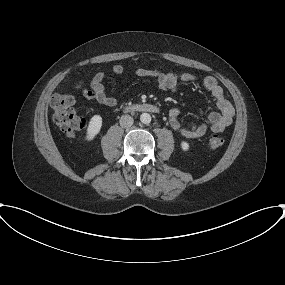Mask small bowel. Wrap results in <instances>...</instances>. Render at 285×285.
Returning a JSON list of instances; mask_svg holds the SVG:
<instances>
[{
	"label": "small bowel",
	"instance_id": "1",
	"mask_svg": "<svg viewBox=\"0 0 285 285\" xmlns=\"http://www.w3.org/2000/svg\"><path fill=\"white\" fill-rule=\"evenodd\" d=\"M134 74L140 77H153L156 79L160 89L170 92H177L180 82L194 83L198 80L197 77L191 73H165L156 69L148 70L138 68L134 70ZM103 80V73H97L90 82V89H83V95L88 99L98 101L102 105L114 107L117 104V100L106 94ZM202 83L205 89L214 98L218 111L210 113L205 122L194 123L191 125H183L179 121V107L172 108L169 112L171 127L188 139L201 137L209 130L216 133L222 132L233 120V106L225 97L217 80L212 76H207L203 79Z\"/></svg>",
	"mask_w": 285,
	"mask_h": 285
}]
</instances>
